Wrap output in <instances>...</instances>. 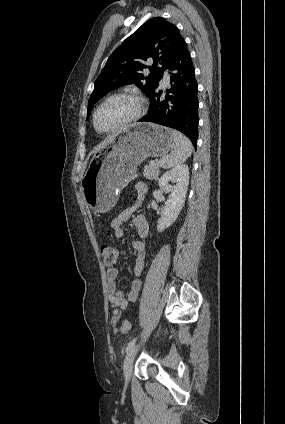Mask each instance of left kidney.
<instances>
[{"label":"left kidney","mask_w":285,"mask_h":424,"mask_svg":"<svg viewBox=\"0 0 285 424\" xmlns=\"http://www.w3.org/2000/svg\"><path fill=\"white\" fill-rule=\"evenodd\" d=\"M169 182L175 183L174 186ZM189 185V168L187 165H179L164 173L159 179V187L164 193H170L165 202L161 217L157 222L158 232L170 227L178 218L185 203V197Z\"/></svg>","instance_id":"obj_1"}]
</instances>
